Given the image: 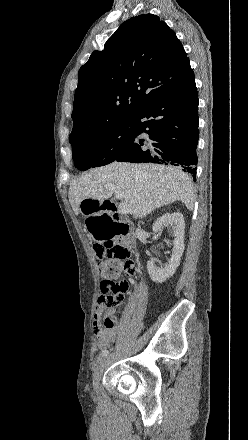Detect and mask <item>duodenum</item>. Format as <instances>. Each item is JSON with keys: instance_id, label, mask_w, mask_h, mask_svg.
<instances>
[{"instance_id": "duodenum-1", "label": "duodenum", "mask_w": 248, "mask_h": 440, "mask_svg": "<svg viewBox=\"0 0 248 440\" xmlns=\"http://www.w3.org/2000/svg\"><path fill=\"white\" fill-rule=\"evenodd\" d=\"M105 209H109L111 213V222L113 228H116L117 234L124 237L128 244L132 245L135 241V234L130 232L129 223L117 214L116 204L111 200H104Z\"/></svg>"}]
</instances>
